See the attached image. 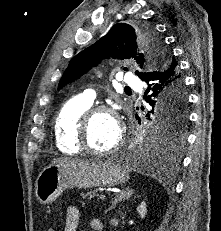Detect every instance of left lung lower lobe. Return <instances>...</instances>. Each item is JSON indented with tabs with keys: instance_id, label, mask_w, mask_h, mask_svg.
I'll return each mask as SVG.
<instances>
[{
	"instance_id": "obj_1",
	"label": "left lung lower lobe",
	"mask_w": 221,
	"mask_h": 231,
	"mask_svg": "<svg viewBox=\"0 0 221 231\" xmlns=\"http://www.w3.org/2000/svg\"><path fill=\"white\" fill-rule=\"evenodd\" d=\"M141 79L147 82L148 87L144 93V99L149 105L157 103L160 110L169 111L177 102L176 89H184V81L178 68L175 57H169L163 67L153 69L146 73ZM181 142H168L159 136H152L148 145L143 146L135 153L139 160L155 158L162 150H177Z\"/></svg>"
}]
</instances>
